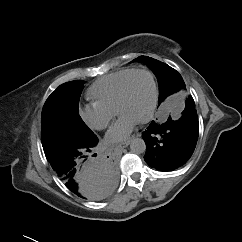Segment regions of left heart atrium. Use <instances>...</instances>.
<instances>
[{
    "label": "left heart atrium",
    "instance_id": "39dd6f15",
    "mask_svg": "<svg viewBox=\"0 0 242 242\" xmlns=\"http://www.w3.org/2000/svg\"><path fill=\"white\" fill-rule=\"evenodd\" d=\"M138 122L127 116L121 115L120 118L109 129L106 138L108 142L115 143L126 140Z\"/></svg>",
    "mask_w": 242,
    "mask_h": 242
}]
</instances>
